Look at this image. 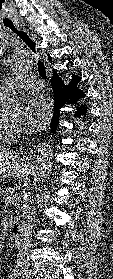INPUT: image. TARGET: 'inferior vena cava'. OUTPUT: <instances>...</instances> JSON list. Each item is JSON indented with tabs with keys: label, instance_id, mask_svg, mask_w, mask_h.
<instances>
[{
	"label": "inferior vena cava",
	"instance_id": "1",
	"mask_svg": "<svg viewBox=\"0 0 113 279\" xmlns=\"http://www.w3.org/2000/svg\"><path fill=\"white\" fill-rule=\"evenodd\" d=\"M24 200L22 207V225H21V241L18 247L17 259H16V268L22 273L27 274L29 272V253L31 249V240H32V215L34 212L33 201L31 198L30 192V180L29 177L24 181Z\"/></svg>",
	"mask_w": 113,
	"mask_h": 279
}]
</instances>
